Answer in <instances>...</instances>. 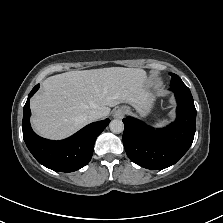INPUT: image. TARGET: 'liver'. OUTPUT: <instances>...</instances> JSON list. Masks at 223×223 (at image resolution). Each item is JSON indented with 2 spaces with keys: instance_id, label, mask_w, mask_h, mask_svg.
Returning <instances> with one entry per match:
<instances>
[{
  "instance_id": "6515ba94",
  "label": "liver",
  "mask_w": 223,
  "mask_h": 223,
  "mask_svg": "<svg viewBox=\"0 0 223 223\" xmlns=\"http://www.w3.org/2000/svg\"><path fill=\"white\" fill-rule=\"evenodd\" d=\"M42 86L30 100V124L38 136L60 141L90 124L92 110L102 111L106 118L110 107L143 101L152 82L144 69L110 67L53 75Z\"/></svg>"
}]
</instances>
